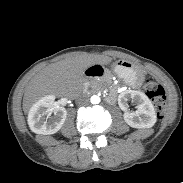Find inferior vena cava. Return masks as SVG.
I'll list each match as a JSON object with an SVG mask.
<instances>
[{
    "instance_id": "inferior-vena-cava-1",
    "label": "inferior vena cava",
    "mask_w": 183,
    "mask_h": 183,
    "mask_svg": "<svg viewBox=\"0 0 183 183\" xmlns=\"http://www.w3.org/2000/svg\"><path fill=\"white\" fill-rule=\"evenodd\" d=\"M76 104L78 106H86L89 104V99L87 98V96L83 95V96H80L76 99Z\"/></svg>"
}]
</instances>
